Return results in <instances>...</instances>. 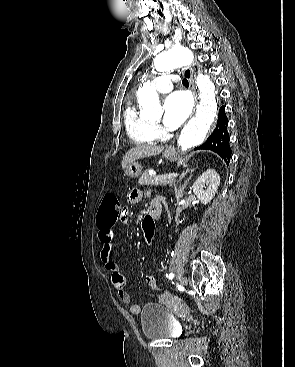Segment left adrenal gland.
<instances>
[{"instance_id":"a2214340","label":"left adrenal gland","mask_w":295,"mask_h":367,"mask_svg":"<svg viewBox=\"0 0 295 367\" xmlns=\"http://www.w3.org/2000/svg\"><path fill=\"white\" fill-rule=\"evenodd\" d=\"M194 170H191V175L189 176V178L184 182V184L182 185V186H179L178 187V189H176V193L177 192H181V191H183L184 190V188L186 187V185L188 184V182H189V180L191 179V177H192V172H193ZM186 172H188V170L186 171Z\"/></svg>"}]
</instances>
